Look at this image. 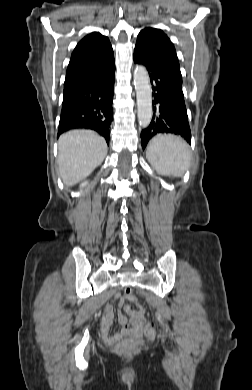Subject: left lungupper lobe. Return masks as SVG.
<instances>
[{"instance_id":"1","label":"left lung upper lobe","mask_w":252,"mask_h":390,"mask_svg":"<svg viewBox=\"0 0 252 390\" xmlns=\"http://www.w3.org/2000/svg\"><path fill=\"white\" fill-rule=\"evenodd\" d=\"M136 45L180 70L174 45L162 30L150 27L141 30Z\"/></svg>"}]
</instances>
